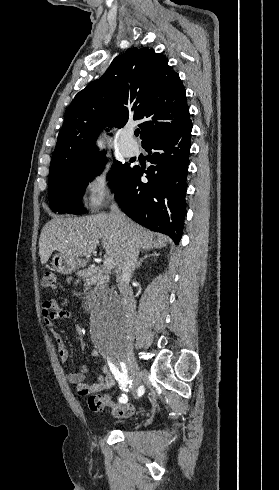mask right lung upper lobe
<instances>
[{
  "mask_svg": "<svg viewBox=\"0 0 279 490\" xmlns=\"http://www.w3.org/2000/svg\"><path fill=\"white\" fill-rule=\"evenodd\" d=\"M143 120L142 144L191 122L185 88L165 56L150 48H130L106 73L80 91L68 107L50 165L49 178L89 162L95 137L105 125L123 127Z\"/></svg>",
  "mask_w": 279,
  "mask_h": 490,
  "instance_id": "cb5924a9",
  "label": "right lung upper lobe"
}]
</instances>
